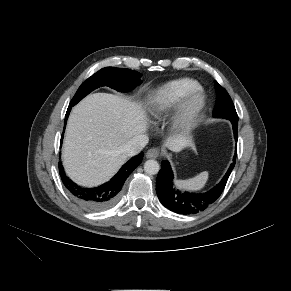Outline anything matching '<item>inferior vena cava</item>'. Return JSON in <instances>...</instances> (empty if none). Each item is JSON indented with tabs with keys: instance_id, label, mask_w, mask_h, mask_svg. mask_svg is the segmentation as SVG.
I'll use <instances>...</instances> for the list:
<instances>
[{
	"instance_id": "inferior-vena-cava-1",
	"label": "inferior vena cava",
	"mask_w": 291,
	"mask_h": 291,
	"mask_svg": "<svg viewBox=\"0 0 291 291\" xmlns=\"http://www.w3.org/2000/svg\"><path fill=\"white\" fill-rule=\"evenodd\" d=\"M148 136L141 134L133 137L125 145H123L122 151L127 156H134L138 154L148 143Z\"/></svg>"
}]
</instances>
